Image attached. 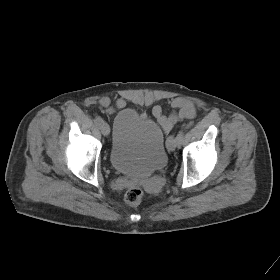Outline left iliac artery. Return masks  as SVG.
I'll use <instances>...</instances> for the list:
<instances>
[{"instance_id": "1", "label": "left iliac artery", "mask_w": 280, "mask_h": 280, "mask_svg": "<svg viewBox=\"0 0 280 280\" xmlns=\"http://www.w3.org/2000/svg\"><path fill=\"white\" fill-rule=\"evenodd\" d=\"M183 136H184V130H180L176 137L178 139L179 144L181 143Z\"/></svg>"}]
</instances>
